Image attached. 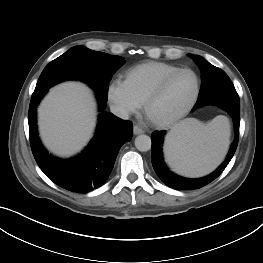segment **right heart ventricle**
I'll use <instances>...</instances> for the list:
<instances>
[{"label":"right heart ventricle","mask_w":263,"mask_h":263,"mask_svg":"<svg viewBox=\"0 0 263 263\" xmlns=\"http://www.w3.org/2000/svg\"><path fill=\"white\" fill-rule=\"evenodd\" d=\"M179 69L178 66L150 61L133 66L124 73V84L131 95L143 104L156 85L169 73Z\"/></svg>","instance_id":"obj_1"}]
</instances>
